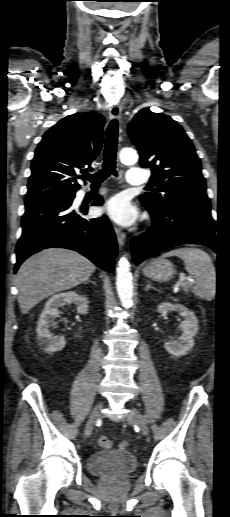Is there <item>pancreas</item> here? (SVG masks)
Segmentation results:
<instances>
[{
    "label": "pancreas",
    "mask_w": 230,
    "mask_h": 517,
    "mask_svg": "<svg viewBox=\"0 0 230 517\" xmlns=\"http://www.w3.org/2000/svg\"><path fill=\"white\" fill-rule=\"evenodd\" d=\"M188 287H189V285H186V286H185V288H184V290H185V291H187V290H188Z\"/></svg>",
    "instance_id": "1"
}]
</instances>
